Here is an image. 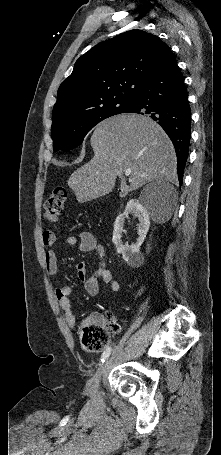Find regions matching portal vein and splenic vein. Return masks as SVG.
I'll list each match as a JSON object with an SVG mask.
<instances>
[{
    "instance_id": "portal-vein-and-splenic-vein-1",
    "label": "portal vein and splenic vein",
    "mask_w": 221,
    "mask_h": 455,
    "mask_svg": "<svg viewBox=\"0 0 221 455\" xmlns=\"http://www.w3.org/2000/svg\"><path fill=\"white\" fill-rule=\"evenodd\" d=\"M130 173H131L130 170L125 171V175H126V176H129Z\"/></svg>"
}]
</instances>
